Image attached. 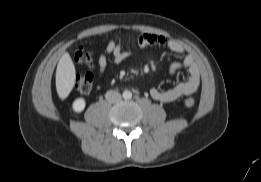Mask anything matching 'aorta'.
Masks as SVG:
<instances>
[{
  "label": "aorta",
  "mask_w": 261,
  "mask_h": 182,
  "mask_svg": "<svg viewBox=\"0 0 261 182\" xmlns=\"http://www.w3.org/2000/svg\"><path fill=\"white\" fill-rule=\"evenodd\" d=\"M123 98L126 99V100L131 99V98H132V93H131V91L125 90V91L123 92Z\"/></svg>",
  "instance_id": "aorta-1"
}]
</instances>
